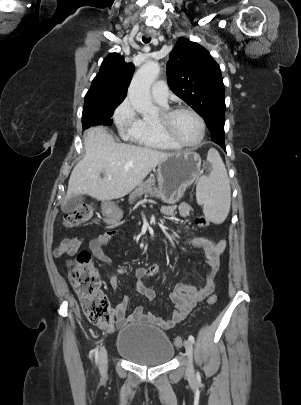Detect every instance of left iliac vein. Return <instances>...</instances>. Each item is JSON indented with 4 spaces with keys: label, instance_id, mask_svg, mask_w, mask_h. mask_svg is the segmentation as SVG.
I'll return each instance as SVG.
<instances>
[{
    "label": "left iliac vein",
    "instance_id": "1",
    "mask_svg": "<svg viewBox=\"0 0 301 405\" xmlns=\"http://www.w3.org/2000/svg\"><path fill=\"white\" fill-rule=\"evenodd\" d=\"M184 347L186 350L187 358H188V366L186 373L187 375L191 376L194 374V369H193V345L192 342L189 340H186L184 342Z\"/></svg>",
    "mask_w": 301,
    "mask_h": 405
}]
</instances>
